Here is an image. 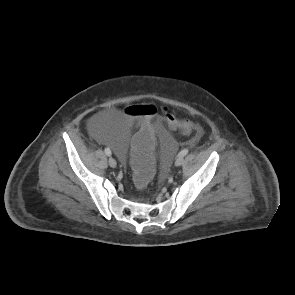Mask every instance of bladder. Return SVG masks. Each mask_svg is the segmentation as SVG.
Here are the masks:
<instances>
[{
  "instance_id": "1",
  "label": "bladder",
  "mask_w": 295,
  "mask_h": 295,
  "mask_svg": "<svg viewBox=\"0 0 295 295\" xmlns=\"http://www.w3.org/2000/svg\"><path fill=\"white\" fill-rule=\"evenodd\" d=\"M88 130L95 139L106 144V150L111 156L117 159H124L128 156L132 131L125 125L119 126L108 113L102 112L94 116L88 123ZM153 130L162 148L158 152L160 160L156 173L159 178L163 179L168 176L172 158L178 150L170 138L172 130L164 122H157Z\"/></svg>"
}]
</instances>
